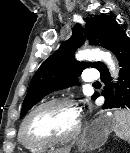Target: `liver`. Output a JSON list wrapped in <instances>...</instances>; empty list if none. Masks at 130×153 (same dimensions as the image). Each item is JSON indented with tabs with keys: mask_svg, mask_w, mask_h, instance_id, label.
<instances>
[{
	"mask_svg": "<svg viewBox=\"0 0 130 153\" xmlns=\"http://www.w3.org/2000/svg\"><path fill=\"white\" fill-rule=\"evenodd\" d=\"M56 153H68L66 150H57Z\"/></svg>",
	"mask_w": 130,
	"mask_h": 153,
	"instance_id": "1",
	"label": "liver"
}]
</instances>
